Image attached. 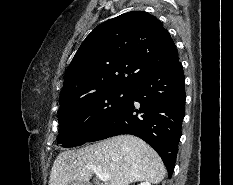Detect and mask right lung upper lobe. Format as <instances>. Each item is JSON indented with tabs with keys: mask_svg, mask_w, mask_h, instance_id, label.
<instances>
[{
	"mask_svg": "<svg viewBox=\"0 0 233 185\" xmlns=\"http://www.w3.org/2000/svg\"><path fill=\"white\" fill-rule=\"evenodd\" d=\"M177 59L169 32L155 16L132 11L107 20L86 37L71 61L61 107L103 90L128 89Z\"/></svg>",
	"mask_w": 233,
	"mask_h": 185,
	"instance_id": "obj_1",
	"label": "right lung upper lobe"
}]
</instances>
